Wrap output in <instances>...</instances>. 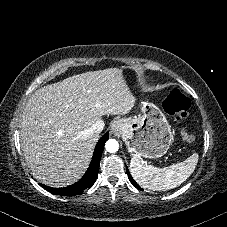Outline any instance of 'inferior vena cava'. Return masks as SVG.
<instances>
[{
	"label": "inferior vena cava",
	"mask_w": 227,
	"mask_h": 227,
	"mask_svg": "<svg viewBox=\"0 0 227 227\" xmlns=\"http://www.w3.org/2000/svg\"><path fill=\"white\" fill-rule=\"evenodd\" d=\"M104 125H105L104 121L98 120L95 122V124L93 125L92 128H93L94 132L100 133V132H102Z\"/></svg>",
	"instance_id": "1"
}]
</instances>
